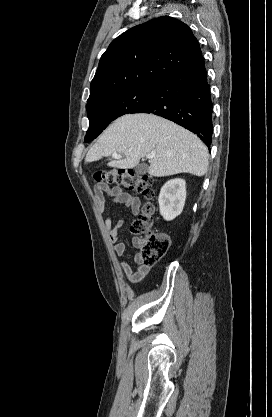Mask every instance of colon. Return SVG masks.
I'll use <instances>...</instances> for the list:
<instances>
[{
  "mask_svg": "<svg viewBox=\"0 0 272 417\" xmlns=\"http://www.w3.org/2000/svg\"><path fill=\"white\" fill-rule=\"evenodd\" d=\"M94 178L117 187H123L142 194L146 198L154 196L152 180L144 175H139L127 169H110L95 173ZM155 208L148 203L143 208L142 214L132 224L131 230L141 237V262L144 265L156 264L167 252L170 246V238L165 233H153Z\"/></svg>",
  "mask_w": 272,
  "mask_h": 417,
  "instance_id": "obj_1",
  "label": "colon"
}]
</instances>
